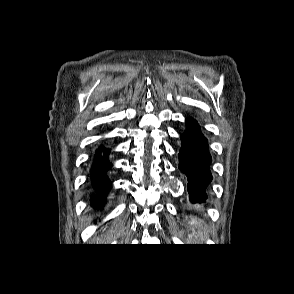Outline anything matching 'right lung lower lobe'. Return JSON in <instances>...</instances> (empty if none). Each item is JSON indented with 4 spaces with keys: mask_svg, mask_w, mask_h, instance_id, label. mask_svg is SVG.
Segmentation results:
<instances>
[{
    "mask_svg": "<svg viewBox=\"0 0 294 294\" xmlns=\"http://www.w3.org/2000/svg\"><path fill=\"white\" fill-rule=\"evenodd\" d=\"M108 153L109 151L106 148L100 146L96 151V157L91 169L93 186L96 188L98 194L102 197L106 196L110 184L106 175V172L111 167V164L107 161ZM92 204L96 206L98 209L100 208V205L97 204L95 199L92 200Z\"/></svg>",
    "mask_w": 294,
    "mask_h": 294,
    "instance_id": "98d812e1",
    "label": "right lung lower lobe"
}]
</instances>
